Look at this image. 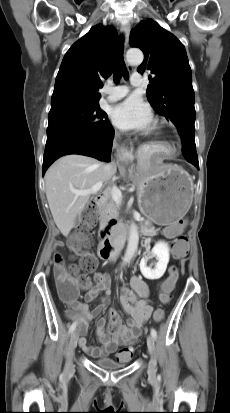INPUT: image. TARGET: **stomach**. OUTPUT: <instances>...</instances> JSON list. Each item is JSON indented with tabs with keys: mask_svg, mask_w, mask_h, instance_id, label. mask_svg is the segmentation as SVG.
<instances>
[{
	"mask_svg": "<svg viewBox=\"0 0 230 413\" xmlns=\"http://www.w3.org/2000/svg\"><path fill=\"white\" fill-rule=\"evenodd\" d=\"M139 209L157 225H169L183 218L193 200L190 175L172 164L144 166L135 176Z\"/></svg>",
	"mask_w": 230,
	"mask_h": 413,
	"instance_id": "obj_1",
	"label": "stomach"
}]
</instances>
